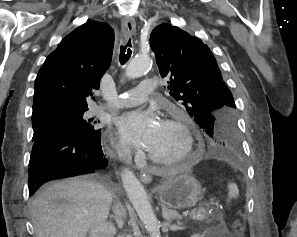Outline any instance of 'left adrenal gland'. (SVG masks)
Instances as JSON below:
<instances>
[{
	"mask_svg": "<svg viewBox=\"0 0 297 237\" xmlns=\"http://www.w3.org/2000/svg\"><path fill=\"white\" fill-rule=\"evenodd\" d=\"M162 216L166 221H171L174 219H181L182 216L175 210H169L165 206H162Z\"/></svg>",
	"mask_w": 297,
	"mask_h": 237,
	"instance_id": "obj_1",
	"label": "left adrenal gland"
}]
</instances>
